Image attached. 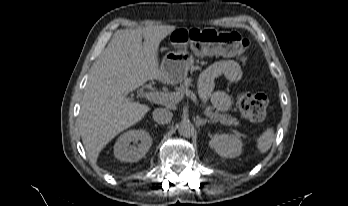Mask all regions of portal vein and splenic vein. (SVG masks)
<instances>
[{"label": "portal vein and splenic vein", "mask_w": 348, "mask_h": 206, "mask_svg": "<svg viewBox=\"0 0 348 206\" xmlns=\"http://www.w3.org/2000/svg\"><path fill=\"white\" fill-rule=\"evenodd\" d=\"M184 94L192 99L196 106H199L196 95L191 90H186L184 93L179 92H167V93H149L146 94L147 98L153 101H156L161 104H177L179 103Z\"/></svg>", "instance_id": "obj_1"}]
</instances>
